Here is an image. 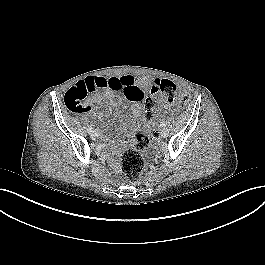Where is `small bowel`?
I'll return each instance as SVG.
<instances>
[{
  "instance_id": "1",
  "label": "small bowel",
  "mask_w": 265,
  "mask_h": 265,
  "mask_svg": "<svg viewBox=\"0 0 265 265\" xmlns=\"http://www.w3.org/2000/svg\"><path fill=\"white\" fill-rule=\"evenodd\" d=\"M90 80L97 83V89H105V94L94 93L88 96L85 100L84 111H91L94 104H103L105 100H109V108H117L122 103V98L116 93L121 92L124 98H127L132 105V120L129 124L131 129H136L141 121L142 107L139 103L145 100V91L138 85L142 86L146 91H152L155 81L147 79L136 80L134 77L125 76H110V77H93ZM83 111V112H84Z\"/></svg>"
}]
</instances>
